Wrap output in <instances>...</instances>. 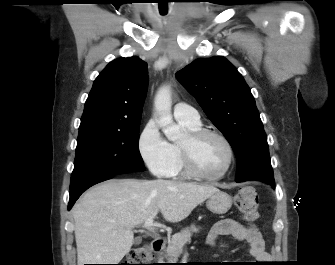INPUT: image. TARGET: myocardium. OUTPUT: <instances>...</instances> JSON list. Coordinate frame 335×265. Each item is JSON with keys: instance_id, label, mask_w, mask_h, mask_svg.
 <instances>
[{"instance_id": "f54148a6", "label": "myocardium", "mask_w": 335, "mask_h": 265, "mask_svg": "<svg viewBox=\"0 0 335 265\" xmlns=\"http://www.w3.org/2000/svg\"><path fill=\"white\" fill-rule=\"evenodd\" d=\"M216 137L219 140L223 142L225 145L227 152H228V160L223 168V170L216 174V175H207L201 172L195 162L193 157V148L196 144H198L201 140H203L206 137ZM179 148L181 152L182 162L184 169L186 172L191 176L199 180L204 181H218L222 179L231 169L234 159H235V152L232 143L230 140L223 135L222 133L212 130V129H198L194 131H190L187 136L186 140L184 142L179 143Z\"/></svg>"}]
</instances>
